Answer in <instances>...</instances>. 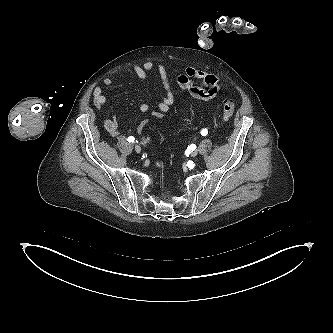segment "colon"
Listing matches in <instances>:
<instances>
[{
    "instance_id": "obj_1",
    "label": "colon",
    "mask_w": 333,
    "mask_h": 333,
    "mask_svg": "<svg viewBox=\"0 0 333 333\" xmlns=\"http://www.w3.org/2000/svg\"><path fill=\"white\" fill-rule=\"evenodd\" d=\"M222 112L224 118H230L234 113V104L231 101H224L222 105Z\"/></svg>"
}]
</instances>
